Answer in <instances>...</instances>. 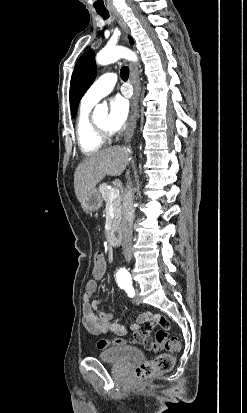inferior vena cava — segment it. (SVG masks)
Returning <instances> with one entry per match:
<instances>
[{
    "label": "inferior vena cava",
    "instance_id": "1",
    "mask_svg": "<svg viewBox=\"0 0 247 413\" xmlns=\"http://www.w3.org/2000/svg\"><path fill=\"white\" fill-rule=\"evenodd\" d=\"M127 176V184L126 188H124L123 196H122V221H121V231H122V249L123 255L125 257V261H131L132 253V229H133V221H134V207H133V200H134V192H133V184L130 178V170L126 172Z\"/></svg>",
    "mask_w": 247,
    "mask_h": 413
}]
</instances>
